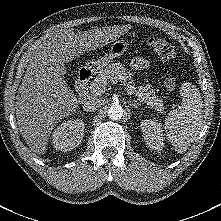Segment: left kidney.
Wrapping results in <instances>:
<instances>
[{
	"label": "left kidney",
	"mask_w": 221,
	"mask_h": 221,
	"mask_svg": "<svg viewBox=\"0 0 221 221\" xmlns=\"http://www.w3.org/2000/svg\"><path fill=\"white\" fill-rule=\"evenodd\" d=\"M140 126L146 144L151 149L162 150L164 143L161 125L154 120L146 119L141 122Z\"/></svg>",
	"instance_id": "left-kidney-1"
}]
</instances>
